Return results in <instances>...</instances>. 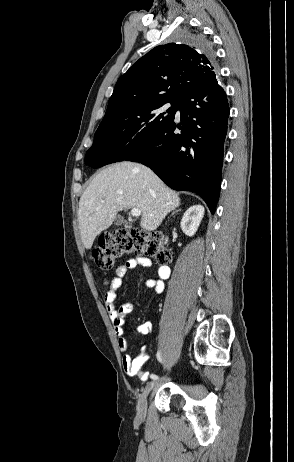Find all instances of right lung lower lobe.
<instances>
[{"label": "right lung lower lobe", "mask_w": 294, "mask_h": 462, "mask_svg": "<svg viewBox=\"0 0 294 462\" xmlns=\"http://www.w3.org/2000/svg\"><path fill=\"white\" fill-rule=\"evenodd\" d=\"M178 110L179 124L173 119L124 160L148 166L172 189L196 192L213 214L220 193L229 116L226 94L215 78L186 92ZM176 128L181 131L175 132ZM85 163L98 168L106 161L97 154Z\"/></svg>", "instance_id": "obj_1"}]
</instances>
